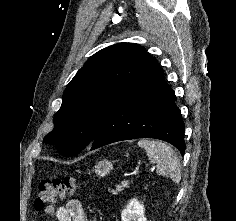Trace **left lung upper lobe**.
<instances>
[{
	"instance_id": "obj_1",
	"label": "left lung upper lobe",
	"mask_w": 236,
	"mask_h": 221,
	"mask_svg": "<svg viewBox=\"0 0 236 221\" xmlns=\"http://www.w3.org/2000/svg\"><path fill=\"white\" fill-rule=\"evenodd\" d=\"M157 60L133 43L104 48L88 59L70 81L54 129L44 142L64 156L92 143L111 112L155 69Z\"/></svg>"
}]
</instances>
